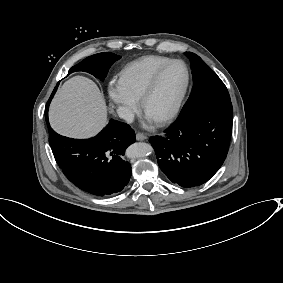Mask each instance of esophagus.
Instances as JSON below:
<instances>
[{
  "instance_id": "34e87169",
  "label": "esophagus",
  "mask_w": 283,
  "mask_h": 283,
  "mask_svg": "<svg viewBox=\"0 0 283 283\" xmlns=\"http://www.w3.org/2000/svg\"><path fill=\"white\" fill-rule=\"evenodd\" d=\"M136 139H137L138 141H144L145 139H147V136L144 135L143 133H137V134H136Z\"/></svg>"
}]
</instances>
